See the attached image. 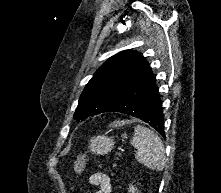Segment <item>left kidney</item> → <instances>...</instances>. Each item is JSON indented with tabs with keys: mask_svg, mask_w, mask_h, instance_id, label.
<instances>
[{
	"mask_svg": "<svg viewBox=\"0 0 221 193\" xmlns=\"http://www.w3.org/2000/svg\"><path fill=\"white\" fill-rule=\"evenodd\" d=\"M137 189L133 186V185H130L129 188H128V193H138Z\"/></svg>",
	"mask_w": 221,
	"mask_h": 193,
	"instance_id": "left-kidney-1",
	"label": "left kidney"
}]
</instances>
